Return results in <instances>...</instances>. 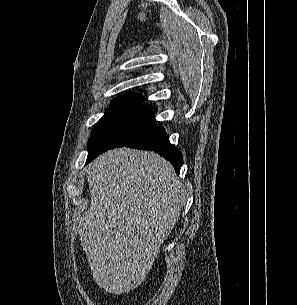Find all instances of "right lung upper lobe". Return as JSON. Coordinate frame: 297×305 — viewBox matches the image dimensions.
<instances>
[{"label":"right lung upper lobe","mask_w":297,"mask_h":305,"mask_svg":"<svg viewBox=\"0 0 297 305\" xmlns=\"http://www.w3.org/2000/svg\"><path fill=\"white\" fill-rule=\"evenodd\" d=\"M121 99L142 100L143 101L144 98L141 95H138L136 93H127V94H124L122 96L115 98L114 100H121Z\"/></svg>","instance_id":"right-lung-upper-lobe-1"}]
</instances>
